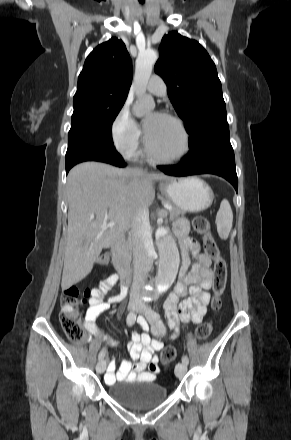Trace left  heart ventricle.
<instances>
[{"label": "left heart ventricle", "instance_id": "obj_1", "mask_svg": "<svg viewBox=\"0 0 291 440\" xmlns=\"http://www.w3.org/2000/svg\"><path fill=\"white\" fill-rule=\"evenodd\" d=\"M146 135L154 150L163 157L174 158L184 149V138L178 126L162 115L145 116Z\"/></svg>", "mask_w": 291, "mask_h": 440}]
</instances>
